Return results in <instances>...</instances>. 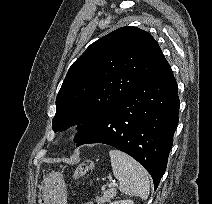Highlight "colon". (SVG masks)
Wrapping results in <instances>:
<instances>
[{"label":"colon","mask_w":212,"mask_h":204,"mask_svg":"<svg viewBox=\"0 0 212 204\" xmlns=\"http://www.w3.org/2000/svg\"><path fill=\"white\" fill-rule=\"evenodd\" d=\"M94 167V163L91 160L83 161L75 170L74 178L78 179L91 171Z\"/></svg>","instance_id":"colon-1"}]
</instances>
